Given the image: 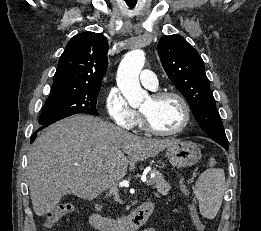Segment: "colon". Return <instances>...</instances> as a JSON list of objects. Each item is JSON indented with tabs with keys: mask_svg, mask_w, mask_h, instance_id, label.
<instances>
[{
	"mask_svg": "<svg viewBox=\"0 0 261 231\" xmlns=\"http://www.w3.org/2000/svg\"><path fill=\"white\" fill-rule=\"evenodd\" d=\"M181 187H185V185H182ZM187 189V188H186ZM74 210L73 205H63L62 207H57L55 209H52L47 214V221L48 223H54L62 216L66 215L67 213H70ZM191 217L193 220V223L195 225L196 231H205V227L203 223L201 222L197 212L194 210V208L191 207Z\"/></svg>",
	"mask_w": 261,
	"mask_h": 231,
	"instance_id": "obj_1",
	"label": "colon"
}]
</instances>
